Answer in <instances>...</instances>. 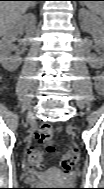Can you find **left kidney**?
Wrapping results in <instances>:
<instances>
[{"label": "left kidney", "instance_id": "obj_1", "mask_svg": "<svg viewBox=\"0 0 104 189\" xmlns=\"http://www.w3.org/2000/svg\"><path fill=\"white\" fill-rule=\"evenodd\" d=\"M79 17L83 20L84 23L87 25H91L92 27V33L95 37L96 44L98 48H103L104 46V24L103 21L94 15L93 13L81 9L79 11ZM99 51V50H97ZM87 61L92 67H99L103 65V56L101 55L100 57L96 58L93 57L91 54L87 55Z\"/></svg>", "mask_w": 104, "mask_h": 189}]
</instances>
